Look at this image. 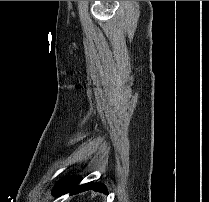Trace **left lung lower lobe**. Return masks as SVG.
<instances>
[{
	"label": "left lung lower lobe",
	"instance_id": "left-lung-lower-lobe-1",
	"mask_svg": "<svg viewBox=\"0 0 209 202\" xmlns=\"http://www.w3.org/2000/svg\"><path fill=\"white\" fill-rule=\"evenodd\" d=\"M79 182H80L79 177H75V176L66 177L56 184V186L52 191V194L54 196H59L70 191L72 192L71 194H77L87 190H94L104 194H108V190L106 186L101 183L90 182L77 186Z\"/></svg>",
	"mask_w": 209,
	"mask_h": 202
}]
</instances>
